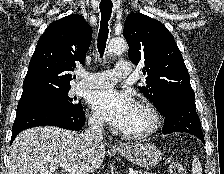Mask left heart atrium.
I'll use <instances>...</instances> for the list:
<instances>
[{"mask_svg": "<svg viewBox=\"0 0 224 174\" xmlns=\"http://www.w3.org/2000/svg\"><path fill=\"white\" fill-rule=\"evenodd\" d=\"M89 103L101 118L120 130L134 107L131 97L126 92L112 88L93 92L89 97Z\"/></svg>", "mask_w": 224, "mask_h": 174, "instance_id": "39dd6f15", "label": "left heart atrium"}]
</instances>
